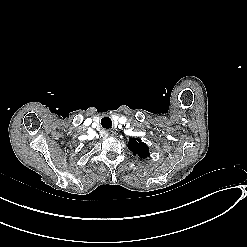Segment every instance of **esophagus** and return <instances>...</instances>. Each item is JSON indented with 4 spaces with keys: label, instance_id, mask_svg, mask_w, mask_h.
I'll list each match as a JSON object with an SVG mask.
<instances>
[{
    "label": "esophagus",
    "instance_id": "34e87169",
    "mask_svg": "<svg viewBox=\"0 0 247 247\" xmlns=\"http://www.w3.org/2000/svg\"><path fill=\"white\" fill-rule=\"evenodd\" d=\"M109 135H110V136H115L116 133H115L114 131H110V132H109Z\"/></svg>",
    "mask_w": 247,
    "mask_h": 247
}]
</instances>
